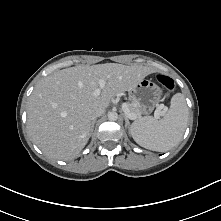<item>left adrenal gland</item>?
<instances>
[{
	"instance_id": "obj_1",
	"label": "left adrenal gland",
	"mask_w": 221,
	"mask_h": 221,
	"mask_svg": "<svg viewBox=\"0 0 221 221\" xmlns=\"http://www.w3.org/2000/svg\"><path fill=\"white\" fill-rule=\"evenodd\" d=\"M124 119H125V127L127 129V128H129L130 122H129V119L127 118L126 115H124Z\"/></svg>"
}]
</instances>
